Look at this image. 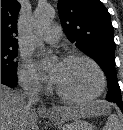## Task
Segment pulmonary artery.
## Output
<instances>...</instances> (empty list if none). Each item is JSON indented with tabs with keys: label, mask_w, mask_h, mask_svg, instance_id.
I'll list each match as a JSON object with an SVG mask.
<instances>
[{
	"label": "pulmonary artery",
	"mask_w": 123,
	"mask_h": 130,
	"mask_svg": "<svg viewBox=\"0 0 123 130\" xmlns=\"http://www.w3.org/2000/svg\"><path fill=\"white\" fill-rule=\"evenodd\" d=\"M61 38V29L57 25L48 27L43 33V40L49 44L57 43Z\"/></svg>",
	"instance_id": "obj_1"
}]
</instances>
